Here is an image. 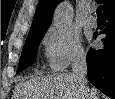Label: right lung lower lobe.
Masks as SVG:
<instances>
[{
    "label": "right lung lower lobe",
    "mask_w": 115,
    "mask_h": 99,
    "mask_svg": "<svg viewBox=\"0 0 115 99\" xmlns=\"http://www.w3.org/2000/svg\"><path fill=\"white\" fill-rule=\"evenodd\" d=\"M107 21L101 41L103 49H90L87 54L89 81L104 94L115 99V9L104 14ZM96 34H94V37Z\"/></svg>",
    "instance_id": "obj_1"
}]
</instances>
